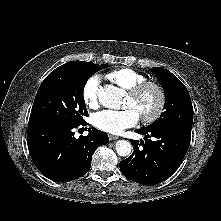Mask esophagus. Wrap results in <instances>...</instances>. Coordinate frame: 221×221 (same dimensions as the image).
Listing matches in <instances>:
<instances>
[{"instance_id": "1", "label": "esophagus", "mask_w": 221, "mask_h": 221, "mask_svg": "<svg viewBox=\"0 0 221 221\" xmlns=\"http://www.w3.org/2000/svg\"><path fill=\"white\" fill-rule=\"evenodd\" d=\"M119 137L118 136H116V135H109V139L111 140V141H113V140H117Z\"/></svg>"}]
</instances>
